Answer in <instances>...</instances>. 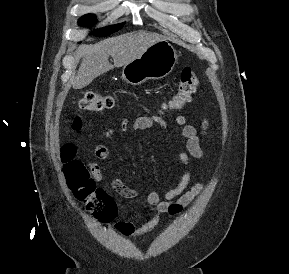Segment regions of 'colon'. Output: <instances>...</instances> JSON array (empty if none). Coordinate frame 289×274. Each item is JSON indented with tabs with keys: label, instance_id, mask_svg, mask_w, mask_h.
<instances>
[{
	"label": "colon",
	"instance_id": "colon-1",
	"mask_svg": "<svg viewBox=\"0 0 289 274\" xmlns=\"http://www.w3.org/2000/svg\"><path fill=\"white\" fill-rule=\"evenodd\" d=\"M198 84V78L190 67L184 68L179 76L177 90L165 105L170 110H180L190 102ZM80 107L90 112L110 109L114 99L109 95L89 92L80 100ZM74 128H80V121L74 122ZM76 148L66 143L61 148V159L65 176L75 197L85 204L86 209L98 219L109 221L115 215V203L111 196L96 186L95 180L84 164L74 159Z\"/></svg>",
	"mask_w": 289,
	"mask_h": 274
}]
</instances>
